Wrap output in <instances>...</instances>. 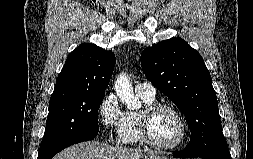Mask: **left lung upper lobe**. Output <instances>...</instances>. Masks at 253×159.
<instances>
[{
	"instance_id": "obj_1",
	"label": "left lung upper lobe",
	"mask_w": 253,
	"mask_h": 159,
	"mask_svg": "<svg viewBox=\"0 0 253 159\" xmlns=\"http://www.w3.org/2000/svg\"><path fill=\"white\" fill-rule=\"evenodd\" d=\"M141 66L151 83L172 100L191 130V142L206 152L222 135L212 80L201 55L181 38L164 40L146 48Z\"/></svg>"
}]
</instances>
